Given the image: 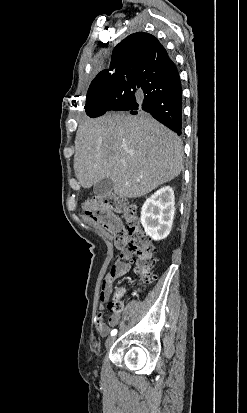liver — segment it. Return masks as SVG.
<instances>
[{
    "mask_svg": "<svg viewBox=\"0 0 247 413\" xmlns=\"http://www.w3.org/2000/svg\"><path fill=\"white\" fill-rule=\"evenodd\" d=\"M181 138L149 114L86 116L75 138L74 170L84 188L113 180L120 198L143 196L180 174Z\"/></svg>",
    "mask_w": 247,
    "mask_h": 413,
    "instance_id": "1",
    "label": "liver"
}]
</instances>
